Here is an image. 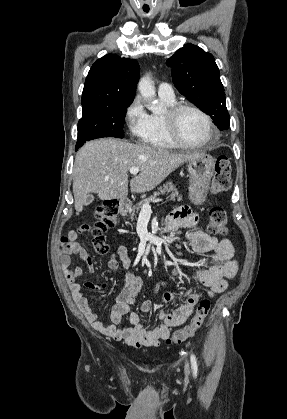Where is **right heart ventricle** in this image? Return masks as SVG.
Masks as SVG:
<instances>
[{
    "mask_svg": "<svg viewBox=\"0 0 287 419\" xmlns=\"http://www.w3.org/2000/svg\"><path fill=\"white\" fill-rule=\"evenodd\" d=\"M168 106L175 104V100L161 98ZM144 144L157 148H178V146L167 134L163 116L159 114L149 115L148 128L145 134L141 137Z\"/></svg>",
    "mask_w": 287,
    "mask_h": 419,
    "instance_id": "1",
    "label": "right heart ventricle"
}]
</instances>
